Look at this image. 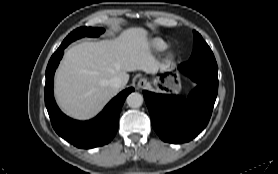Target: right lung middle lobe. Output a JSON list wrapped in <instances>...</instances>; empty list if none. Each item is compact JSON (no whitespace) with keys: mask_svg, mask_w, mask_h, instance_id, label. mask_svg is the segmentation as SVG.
Wrapping results in <instances>:
<instances>
[{"mask_svg":"<svg viewBox=\"0 0 278 174\" xmlns=\"http://www.w3.org/2000/svg\"><path fill=\"white\" fill-rule=\"evenodd\" d=\"M104 30L102 28H91V27H80L71 32L62 42L61 45L68 46L72 41L79 39L84 36H92L97 37L101 33H103Z\"/></svg>","mask_w":278,"mask_h":174,"instance_id":"dd1d6c3e","label":"right lung middle lobe"}]
</instances>
